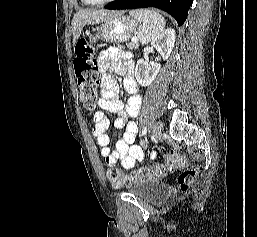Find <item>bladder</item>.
Listing matches in <instances>:
<instances>
[{
  "mask_svg": "<svg viewBox=\"0 0 257 237\" xmlns=\"http://www.w3.org/2000/svg\"><path fill=\"white\" fill-rule=\"evenodd\" d=\"M129 192L138 198L149 202L158 201L165 194L163 184L157 180L135 182L129 187Z\"/></svg>",
  "mask_w": 257,
  "mask_h": 237,
  "instance_id": "obj_1",
  "label": "bladder"
}]
</instances>
